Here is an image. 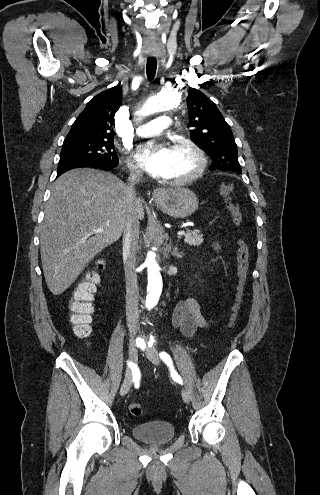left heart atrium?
I'll use <instances>...</instances> for the list:
<instances>
[{"mask_svg":"<svg viewBox=\"0 0 320 495\" xmlns=\"http://www.w3.org/2000/svg\"><path fill=\"white\" fill-rule=\"evenodd\" d=\"M136 157L151 175L169 178L172 164L170 148L147 143L139 147Z\"/></svg>","mask_w":320,"mask_h":495,"instance_id":"39dd6f15","label":"left heart atrium"}]
</instances>
